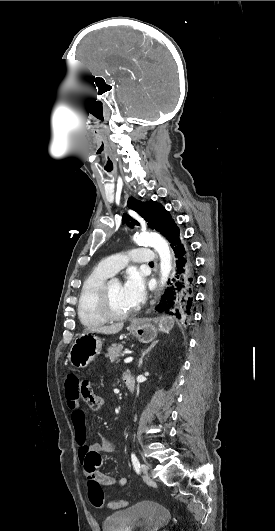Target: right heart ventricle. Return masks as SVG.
I'll list each match as a JSON object with an SVG mask.
<instances>
[{
    "mask_svg": "<svg viewBox=\"0 0 275 531\" xmlns=\"http://www.w3.org/2000/svg\"><path fill=\"white\" fill-rule=\"evenodd\" d=\"M110 275L103 269L96 270L88 275L81 285L77 313L80 322L86 327H98L107 321L98 310L97 297L101 284Z\"/></svg>",
    "mask_w": 275,
    "mask_h": 531,
    "instance_id": "right-heart-ventricle-1",
    "label": "right heart ventricle"
}]
</instances>
